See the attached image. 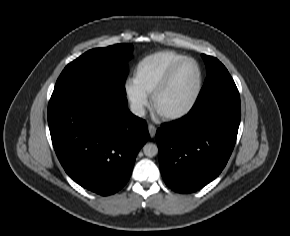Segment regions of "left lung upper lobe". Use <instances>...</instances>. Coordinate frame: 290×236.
I'll list each match as a JSON object with an SVG mask.
<instances>
[{
  "label": "left lung upper lobe",
  "mask_w": 290,
  "mask_h": 236,
  "mask_svg": "<svg viewBox=\"0 0 290 236\" xmlns=\"http://www.w3.org/2000/svg\"><path fill=\"white\" fill-rule=\"evenodd\" d=\"M201 56L207 67V78L194 106L205 102L225 90L236 87L228 70L219 60L204 54Z\"/></svg>",
  "instance_id": "1"
}]
</instances>
